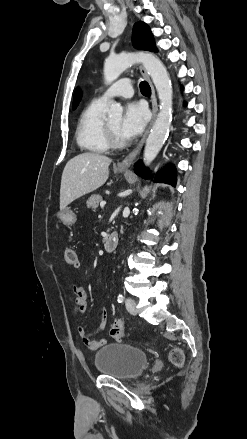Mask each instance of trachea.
I'll list each match as a JSON object with an SVG mask.
<instances>
[{"instance_id":"3493384b","label":"trachea","mask_w":247,"mask_h":439,"mask_svg":"<svg viewBox=\"0 0 247 439\" xmlns=\"http://www.w3.org/2000/svg\"><path fill=\"white\" fill-rule=\"evenodd\" d=\"M140 90H141V93L143 95H146V96H150L151 95V88H150L149 84L146 81H142L140 83Z\"/></svg>"}]
</instances>
